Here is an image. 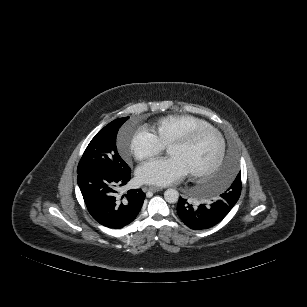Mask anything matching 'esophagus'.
Masks as SVG:
<instances>
[{
  "instance_id": "1",
  "label": "esophagus",
  "mask_w": 307,
  "mask_h": 307,
  "mask_svg": "<svg viewBox=\"0 0 307 307\" xmlns=\"http://www.w3.org/2000/svg\"><path fill=\"white\" fill-rule=\"evenodd\" d=\"M143 190H144V191L157 192V191H161L162 188H160V187H154V186H149V187H144Z\"/></svg>"
}]
</instances>
